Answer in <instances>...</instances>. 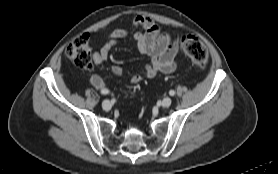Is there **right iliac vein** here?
Wrapping results in <instances>:
<instances>
[{"mask_svg":"<svg viewBox=\"0 0 278 174\" xmlns=\"http://www.w3.org/2000/svg\"><path fill=\"white\" fill-rule=\"evenodd\" d=\"M102 107H103L104 110L108 111V110L111 109L112 104H111V102L109 100H104L102 102Z\"/></svg>","mask_w":278,"mask_h":174,"instance_id":"1","label":"right iliac vein"}]
</instances>
